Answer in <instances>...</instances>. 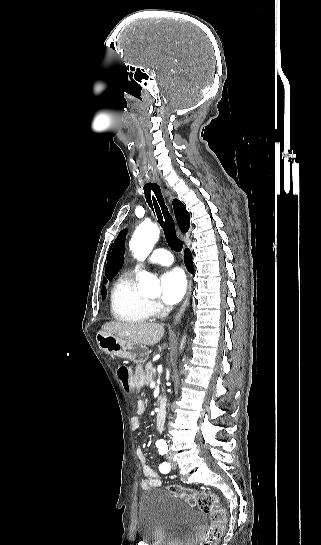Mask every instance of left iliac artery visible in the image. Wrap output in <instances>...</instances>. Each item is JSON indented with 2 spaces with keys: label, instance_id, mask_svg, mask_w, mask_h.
I'll return each mask as SVG.
<instances>
[{
  "label": "left iliac artery",
  "instance_id": "1",
  "mask_svg": "<svg viewBox=\"0 0 321 545\" xmlns=\"http://www.w3.org/2000/svg\"><path fill=\"white\" fill-rule=\"evenodd\" d=\"M168 452V448L165 445L159 446V453L161 455H164ZM159 470L161 473H168L170 471V464L167 462H163L161 465H159Z\"/></svg>",
  "mask_w": 321,
  "mask_h": 545
}]
</instances>
